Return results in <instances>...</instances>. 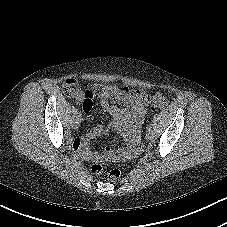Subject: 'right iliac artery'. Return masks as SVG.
I'll list each match as a JSON object with an SVG mask.
<instances>
[{"label": "right iliac artery", "mask_w": 227, "mask_h": 227, "mask_svg": "<svg viewBox=\"0 0 227 227\" xmlns=\"http://www.w3.org/2000/svg\"><path fill=\"white\" fill-rule=\"evenodd\" d=\"M76 115H77V117H79L80 118V116H81V114L80 113H78L77 111H76V113H75Z\"/></svg>", "instance_id": "1"}]
</instances>
